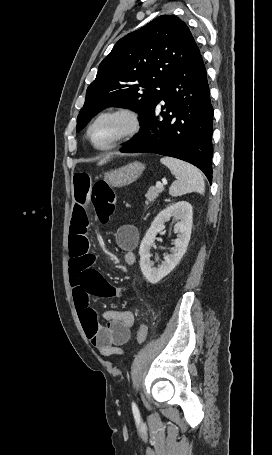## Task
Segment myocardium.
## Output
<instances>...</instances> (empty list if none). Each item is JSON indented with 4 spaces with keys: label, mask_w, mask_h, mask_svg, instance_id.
<instances>
[{
    "label": "myocardium",
    "mask_w": 272,
    "mask_h": 455,
    "mask_svg": "<svg viewBox=\"0 0 272 455\" xmlns=\"http://www.w3.org/2000/svg\"><path fill=\"white\" fill-rule=\"evenodd\" d=\"M107 117H120L125 121V128L123 132L114 139L111 143L105 146H98L94 143L91 132L94 126L104 118ZM141 118L139 113L131 107L128 106H117L107 108L100 111L89 123L86 130V137L93 148L98 151H109L119 145L131 140L134 138L141 130Z\"/></svg>",
    "instance_id": "myocardium-1"
}]
</instances>
